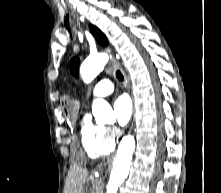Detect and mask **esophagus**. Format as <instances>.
Here are the masks:
<instances>
[{
    "label": "esophagus",
    "instance_id": "obj_1",
    "mask_svg": "<svg viewBox=\"0 0 221 193\" xmlns=\"http://www.w3.org/2000/svg\"><path fill=\"white\" fill-rule=\"evenodd\" d=\"M66 23H67V20H65V25H66ZM68 24H69L70 27H72V20H71V18L69 19ZM106 51H107V52L110 54V56H111V62H112V64H113V66H114L115 68L119 69V70L122 72L123 77H124V85H125V87L128 89V91H129V93H130V88H129V85H128V81H127L126 75H125L124 71L122 70V67H121L119 61L111 54V50H110L109 47L106 48ZM131 97H132V95H131ZM131 101H132V104H135L136 98H135V97H132V98H131ZM132 108H135V105H132ZM131 126H134V123H131ZM130 131H133V128H130Z\"/></svg>",
    "mask_w": 221,
    "mask_h": 193
}]
</instances>
